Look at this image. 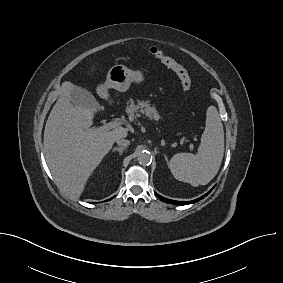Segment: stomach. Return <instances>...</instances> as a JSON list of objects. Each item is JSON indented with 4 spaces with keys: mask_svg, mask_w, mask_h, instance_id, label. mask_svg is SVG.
<instances>
[{
    "mask_svg": "<svg viewBox=\"0 0 283 283\" xmlns=\"http://www.w3.org/2000/svg\"><path fill=\"white\" fill-rule=\"evenodd\" d=\"M144 81L141 71H132L124 65L117 64L110 68L106 81L97 87V93L102 98H108V89L113 88L120 92L128 90L132 82Z\"/></svg>",
    "mask_w": 283,
    "mask_h": 283,
    "instance_id": "1",
    "label": "stomach"
}]
</instances>
